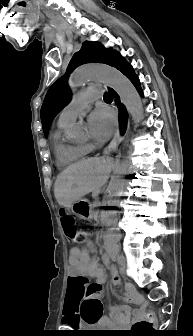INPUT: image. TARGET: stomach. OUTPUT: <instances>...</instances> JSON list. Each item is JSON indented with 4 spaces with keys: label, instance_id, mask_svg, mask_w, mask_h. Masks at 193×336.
<instances>
[{
    "label": "stomach",
    "instance_id": "stomach-1",
    "mask_svg": "<svg viewBox=\"0 0 193 336\" xmlns=\"http://www.w3.org/2000/svg\"><path fill=\"white\" fill-rule=\"evenodd\" d=\"M71 210L84 220H89L92 216V207L87 199L81 198L71 205Z\"/></svg>",
    "mask_w": 193,
    "mask_h": 336
}]
</instances>
